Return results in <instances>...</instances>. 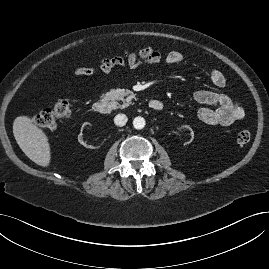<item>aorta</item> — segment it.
Returning a JSON list of instances; mask_svg holds the SVG:
<instances>
[{"instance_id":"aorta-1","label":"aorta","mask_w":269,"mask_h":269,"mask_svg":"<svg viewBox=\"0 0 269 269\" xmlns=\"http://www.w3.org/2000/svg\"><path fill=\"white\" fill-rule=\"evenodd\" d=\"M133 126L137 130L143 129L145 127V119L143 117L134 118Z\"/></svg>"}]
</instances>
